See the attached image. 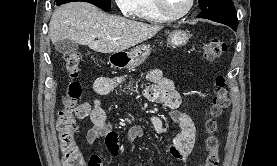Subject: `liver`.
I'll list each match as a JSON object with an SVG mask.
<instances>
[{
  "label": "liver",
  "instance_id": "6515ba94",
  "mask_svg": "<svg viewBox=\"0 0 277 166\" xmlns=\"http://www.w3.org/2000/svg\"><path fill=\"white\" fill-rule=\"evenodd\" d=\"M162 28L105 14L87 2H71L53 12L49 37L53 44L64 39L100 53H118L152 38Z\"/></svg>",
  "mask_w": 277,
  "mask_h": 166
}]
</instances>
